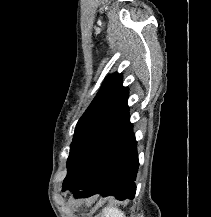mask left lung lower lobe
<instances>
[{
	"mask_svg": "<svg viewBox=\"0 0 211 217\" xmlns=\"http://www.w3.org/2000/svg\"><path fill=\"white\" fill-rule=\"evenodd\" d=\"M138 167L137 142L129 122L98 150L74 180L63 186V191L69 189L77 198L102 194L119 200L133 199Z\"/></svg>",
	"mask_w": 211,
	"mask_h": 217,
	"instance_id": "obj_1",
	"label": "left lung lower lobe"
}]
</instances>
